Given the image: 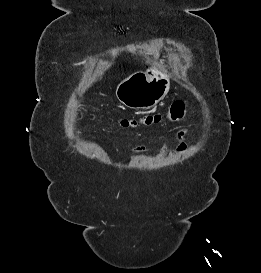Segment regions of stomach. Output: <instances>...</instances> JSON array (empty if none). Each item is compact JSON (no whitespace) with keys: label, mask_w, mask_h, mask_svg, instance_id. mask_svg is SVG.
<instances>
[{"label":"stomach","mask_w":261,"mask_h":273,"mask_svg":"<svg viewBox=\"0 0 261 273\" xmlns=\"http://www.w3.org/2000/svg\"><path fill=\"white\" fill-rule=\"evenodd\" d=\"M170 88L168 75L158 67L135 72L116 88V97L126 107L149 109L157 105Z\"/></svg>","instance_id":"obj_1"}]
</instances>
